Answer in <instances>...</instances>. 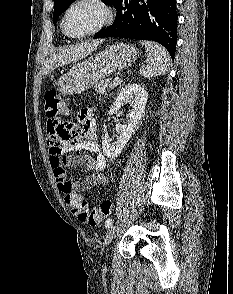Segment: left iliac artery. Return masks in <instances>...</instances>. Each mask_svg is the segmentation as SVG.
<instances>
[{
    "mask_svg": "<svg viewBox=\"0 0 233 294\" xmlns=\"http://www.w3.org/2000/svg\"><path fill=\"white\" fill-rule=\"evenodd\" d=\"M112 223H113V219H112V218H108V219L106 220V222H105V227H106V228H110L111 225H112Z\"/></svg>",
    "mask_w": 233,
    "mask_h": 294,
    "instance_id": "left-iliac-artery-1",
    "label": "left iliac artery"
}]
</instances>
